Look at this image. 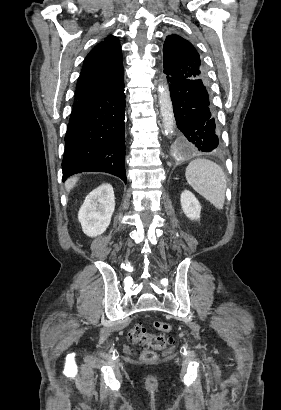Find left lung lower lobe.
Instances as JSON below:
<instances>
[{"label":"left lung lower lobe","instance_id":"left-lung-lower-lobe-1","mask_svg":"<svg viewBox=\"0 0 281 410\" xmlns=\"http://www.w3.org/2000/svg\"><path fill=\"white\" fill-rule=\"evenodd\" d=\"M179 137L186 148L200 152L220 149L219 132L205 80L167 77Z\"/></svg>","mask_w":281,"mask_h":410}]
</instances>
